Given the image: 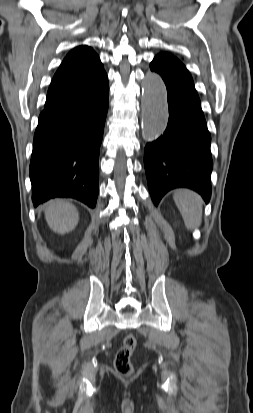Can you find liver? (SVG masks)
<instances>
[{"mask_svg": "<svg viewBox=\"0 0 253 413\" xmlns=\"http://www.w3.org/2000/svg\"><path fill=\"white\" fill-rule=\"evenodd\" d=\"M45 218L54 232L65 234L75 229L79 221V213L72 204L55 200L45 208Z\"/></svg>", "mask_w": 253, "mask_h": 413, "instance_id": "1", "label": "liver"}]
</instances>
